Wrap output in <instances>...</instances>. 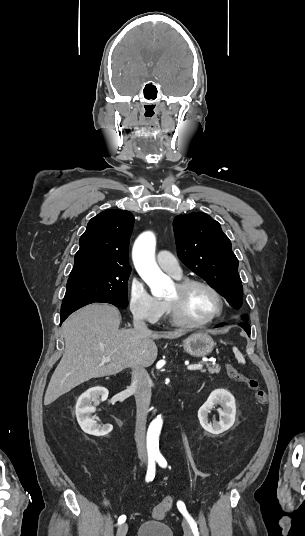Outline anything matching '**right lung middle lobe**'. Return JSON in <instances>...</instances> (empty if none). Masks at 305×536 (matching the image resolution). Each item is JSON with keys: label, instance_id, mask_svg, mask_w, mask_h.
<instances>
[{"label": "right lung middle lobe", "instance_id": "1", "mask_svg": "<svg viewBox=\"0 0 305 536\" xmlns=\"http://www.w3.org/2000/svg\"><path fill=\"white\" fill-rule=\"evenodd\" d=\"M130 272H95L69 277L62 305L106 302L125 308Z\"/></svg>", "mask_w": 305, "mask_h": 536}]
</instances>
